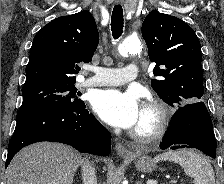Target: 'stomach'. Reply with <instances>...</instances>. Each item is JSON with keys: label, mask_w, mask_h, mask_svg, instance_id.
<instances>
[{"label": "stomach", "mask_w": 224, "mask_h": 184, "mask_svg": "<svg viewBox=\"0 0 224 184\" xmlns=\"http://www.w3.org/2000/svg\"><path fill=\"white\" fill-rule=\"evenodd\" d=\"M126 160L134 161L135 167L142 173H150L156 168V163L148 156L125 157Z\"/></svg>", "instance_id": "1"}]
</instances>
